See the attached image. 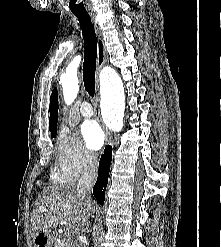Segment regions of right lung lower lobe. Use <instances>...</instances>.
Segmentation results:
<instances>
[{
  "mask_svg": "<svg viewBox=\"0 0 221 247\" xmlns=\"http://www.w3.org/2000/svg\"><path fill=\"white\" fill-rule=\"evenodd\" d=\"M111 160L112 147L106 146L104 154L99 161L98 178L93 187L94 197L101 205H103L105 199V190L108 183Z\"/></svg>",
  "mask_w": 221,
  "mask_h": 247,
  "instance_id": "right-lung-lower-lobe-1",
  "label": "right lung lower lobe"
}]
</instances>
